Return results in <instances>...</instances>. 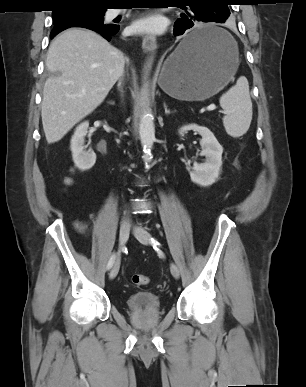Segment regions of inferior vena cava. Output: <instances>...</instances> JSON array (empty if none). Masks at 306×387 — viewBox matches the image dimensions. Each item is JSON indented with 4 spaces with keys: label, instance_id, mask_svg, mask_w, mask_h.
I'll return each instance as SVG.
<instances>
[{
    "label": "inferior vena cava",
    "instance_id": "1",
    "mask_svg": "<svg viewBox=\"0 0 306 387\" xmlns=\"http://www.w3.org/2000/svg\"><path fill=\"white\" fill-rule=\"evenodd\" d=\"M123 76V72H122V74L120 75V77H122ZM121 85V78H120V80H119V84H118V86H120Z\"/></svg>",
    "mask_w": 306,
    "mask_h": 387
}]
</instances>
